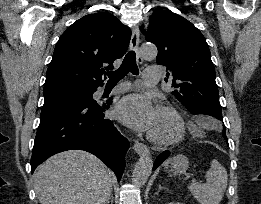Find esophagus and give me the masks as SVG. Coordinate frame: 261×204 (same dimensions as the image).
Listing matches in <instances>:
<instances>
[{
    "instance_id": "obj_1",
    "label": "esophagus",
    "mask_w": 261,
    "mask_h": 204,
    "mask_svg": "<svg viewBox=\"0 0 261 204\" xmlns=\"http://www.w3.org/2000/svg\"><path fill=\"white\" fill-rule=\"evenodd\" d=\"M139 28L136 26L132 30L131 40H130V50L135 51L137 53V60L140 64L143 63V59L140 57L138 53L139 48ZM133 149L136 153H138L140 156H147L150 154V151L148 147L141 143L136 141L133 145Z\"/></svg>"
}]
</instances>
